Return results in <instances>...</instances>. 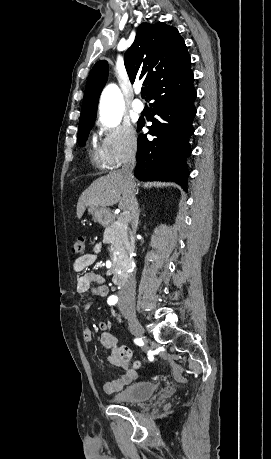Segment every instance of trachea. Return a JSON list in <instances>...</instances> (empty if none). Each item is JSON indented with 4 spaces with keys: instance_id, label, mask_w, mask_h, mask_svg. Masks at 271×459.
<instances>
[{
    "instance_id": "1",
    "label": "trachea",
    "mask_w": 271,
    "mask_h": 459,
    "mask_svg": "<svg viewBox=\"0 0 271 459\" xmlns=\"http://www.w3.org/2000/svg\"><path fill=\"white\" fill-rule=\"evenodd\" d=\"M147 90L146 88L141 89V96L144 98L146 96Z\"/></svg>"
}]
</instances>
